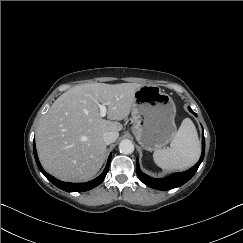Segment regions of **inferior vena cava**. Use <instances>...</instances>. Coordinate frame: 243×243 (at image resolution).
<instances>
[{"instance_id": "inferior-vena-cava-1", "label": "inferior vena cava", "mask_w": 243, "mask_h": 243, "mask_svg": "<svg viewBox=\"0 0 243 243\" xmlns=\"http://www.w3.org/2000/svg\"><path fill=\"white\" fill-rule=\"evenodd\" d=\"M118 135L116 132L110 131L103 134V141L105 144L109 145L116 141Z\"/></svg>"}]
</instances>
